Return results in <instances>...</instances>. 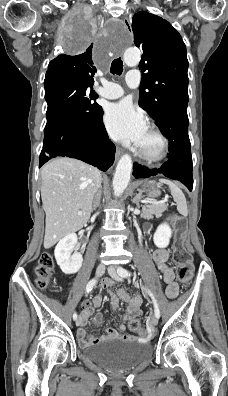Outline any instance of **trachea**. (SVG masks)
I'll return each mask as SVG.
<instances>
[{"instance_id": "1", "label": "trachea", "mask_w": 228, "mask_h": 396, "mask_svg": "<svg viewBox=\"0 0 228 396\" xmlns=\"http://www.w3.org/2000/svg\"><path fill=\"white\" fill-rule=\"evenodd\" d=\"M110 71L112 74L121 75L123 72V62L121 57L114 59L111 64Z\"/></svg>"}]
</instances>
